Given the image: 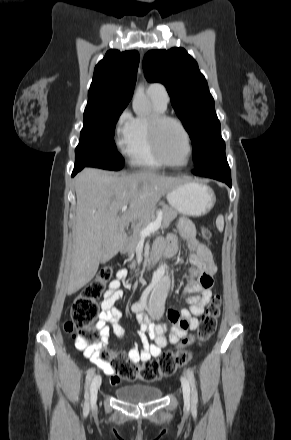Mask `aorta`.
<instances>
[{
	"instance_id": "1",
	"label": "aorta",
	"mask_w": 291,
	"mask_h": 440,
	"mask_svg": "<svg viewBox=\"0 0 291 440\" xmlns=\"http://www.w3.org/2000/svg\"><path fill=\"white\" fill-rule=\"evenodd\" d=\"M133 110L138 115L147 114L150 110V103L147 99L144 87L138 86L133 99ZM170 288V279L164 275L157 278L152 283V291L150 294V303L163 302L166 299Z\"/></svg>"
}]
</instances>
